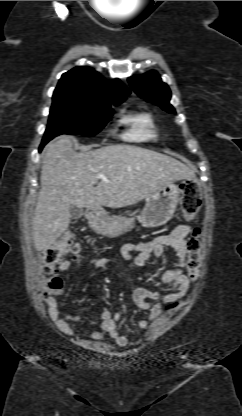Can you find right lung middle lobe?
Segmentation results:
<instances>
[{
	"label": "right lung middle lobe",
	"instance_id": "dd1d6c3e",
	"mask_svg": "<svg viewBox=\"0 0 242 416\" xmlns=\"http://www.w3.org/2000/svg\"><path fill=\"white\" fill-rule=\"evenodd\" d=\"M122 102L53 100L42 144L60 134L94 136L113 114L112 105Z\"/></svg>",
	"mask_w": 242,
	"mask_h": 416
}]
</instances>
